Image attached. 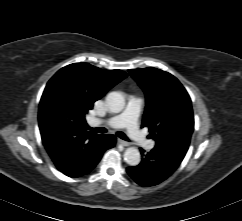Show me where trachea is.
Masks as SVG:
<instances>
[{"label":"trachea","instance_id":"obj_1","mask_svg":"<svg viewBox=\"0 0 242 221\" xmlns=\"http://www.w3.org/2000/svg\"><path fill=\"white\" fill-rule=\"evenodd\" d=\"M87 129H88V130H91V131H93V132H97V133H106V132H107V129H105V128H103V127L91 128V127L87 126ZM116 135H117L119 138H121V139H123V140H125V141H130V140L128 139V137H127L123 132H117Z\"/></svg>","mask_w":242,"mask_h":221}]
</instances>
